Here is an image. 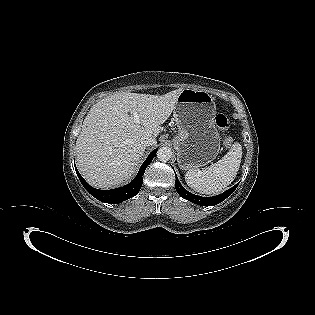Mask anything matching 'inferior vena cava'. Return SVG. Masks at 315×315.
Segmentation results:
<instances>
[{"instance_id":"1","label":"inferior vena cava","mask_w":315,"mask_h":315,"mask_svg":"<svg viewBox=\"0 0 315 315\" xmlns=\"http://www.w3.org/2000/svg\"><path fill=\"white\" fill-rule=\"evenodd\" d=\"M142 143L145 145V146H151L155 143V139L152 138V137H144L142 139Z\"/></svg>"}]
</instances>
